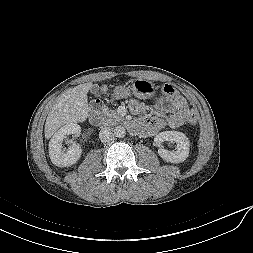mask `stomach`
<instances>
[{"mask_svg": "<svg viewBox=\"0 0 253 253\" xmlns=\"http://www.w3.org/2000/svg\"><path fill=\"white\" fill-rule=\"evenodd\" d=\"M157 87L146 79H135L131 87L116 86L113 92L114 99L126 98L133 94L140 99H149L156 93Z\"/></svg>", "mask_w": 253, "mask_h": 253, "instance_id": "obj_1", "label": "stomach"}]
</instances>
